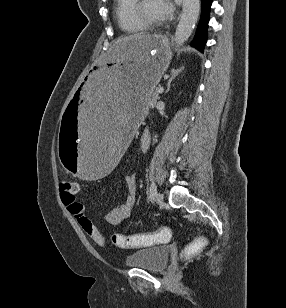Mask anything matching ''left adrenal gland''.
Returning a JSON list of instances; mask_svg holds the SVG:
<instances>
[{"mask_svg":"<svg viewBox=\"0 0 286 308\" xmlns=\"http://www.w3.org/2000/svg\"><path fill=\"white\" fill-rule=\"evenodd\" d=\"M182 70H183V67H181L180 69L171 70V78L167 82V89L165 93H168V91L170 90L171 82L182 72Z\"/></svg>","mask_w":286,"mask_h":308,"instance_id":"1","label":"left adrenal gland"}]
</instances>
